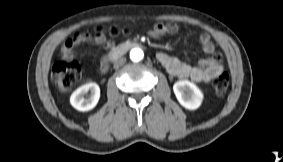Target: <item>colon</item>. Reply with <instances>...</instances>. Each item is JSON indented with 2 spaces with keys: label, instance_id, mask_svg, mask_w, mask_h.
I'll use <instances>...</instances> for the list:
<instances>
[{
  "label": "colon",
  "instance_id": "5ec220e1",
  "mask_svg": "<svg viewBox=\"0 0 283 162\" xmlns=\"http://www.w3.org/2000/svg\"><path fill=\"white\" fill-rule=\"evenodd\" d=\"M96 34H103V29L101 27L95 28ZM109 33L111 36H118L120 34H127V29H121L117 26H113L109 29ZM81 74L80 65L72 60V61H59L56 62L52 68V78L56 82L59 88L63 90H69L74 87L77 80L79 79ZM229 86V75L224 72L221 73L213 83L214 90L217 94H224Z\"/></svg>",
  "mask_w": 283,
  "mask_h": 162
}]
</instances>
